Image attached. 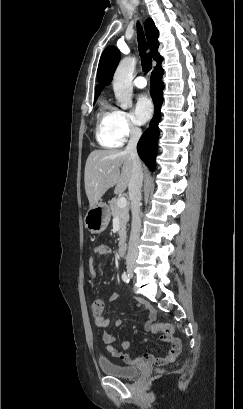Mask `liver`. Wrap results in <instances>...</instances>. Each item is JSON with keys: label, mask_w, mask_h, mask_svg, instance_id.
I'll use <instances>...</instances> for the list:
<instances>
[{"label": "liver", "mask_w": 243, "mask_h": 409, "mask_svg": "<svg viewBox=\"0 0 243 409\" xmlns=\"http://www.w3.org/2000/svg\"><path fill=\"white\" fill-rule=\"evenodd\" d=\"M121 168V173H120ZM132 172V160L126 150H94L85 165V192L90 207L98 204L105 192L115 186L114 192L126 190Z\"/></svg>", "instance_id": "6515ba94"}]
</instances>
